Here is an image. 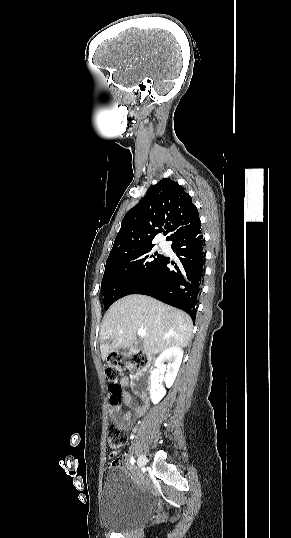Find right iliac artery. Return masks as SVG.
<instances>
[{"instance_id": "1", "label": "right iliac artery", "mask_w": 291, "mask_h": 538, "mask_svg": "<svg viewBox=\"0 0 291 538\" xmlns=\"http://www.w3.org/2000/svg\"><path fill=\"white\" fill-rule=\"evenodd\" d=\"M131 464L133 465L135 460H134V457H131V460H130Z\"/></svg>"}]
</instances>
